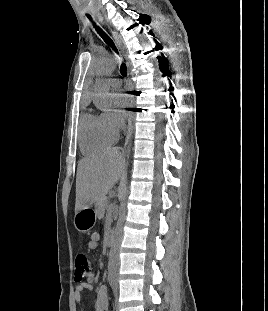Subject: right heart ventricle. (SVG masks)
<instances>
[{"instance_id": "1", "label": "right heart ventricle", "mask_w": 268, "mask_h": 311, "mask_svg": "<svg viewBox=\"0 0 268 311\" xmlns=\"http://www.w3.org/2000/svg\"><path fill=\"white\" fill-rule=\"evenodd\" d=\"M118 133L111 129L103 114L91 111L82 114L79 122V145L85 154H95L113 145Z\"/></svg>"}]
</instances>
